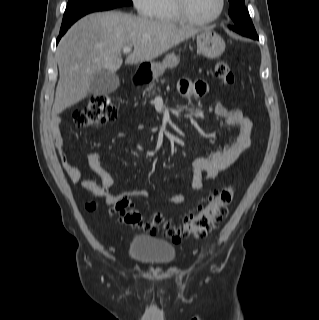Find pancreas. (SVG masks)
<instances>
[{
    "instance_id": "1",
    "label": "pancreas",
    "mask_w": 319,
    "mask_h": 320,
    "mask_svg": "<svg viewBox=\"0 0 319 320\" xmlns=\"http://www.w3.org/2000/svg\"><path fill=\"white\" fill-rule=\"evenodd\" d=\"M162 82H164V79L162 80ZM154 86H155V83L152 82L149 84V86L145 89V92L148 93V96H150V94H154L155 91H154Z\"/></svg>"
}]
</instances>
